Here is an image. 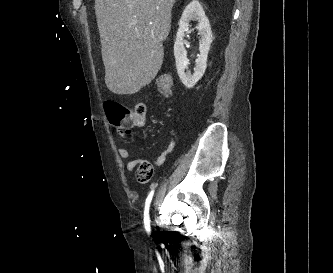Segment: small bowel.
Wrapping results in <instances>:
<instances>
[{"mask_svg": "<svg viewBox=\"0 0 333 273\" xmlns=\"http://www.w3.org/2000/svg\"><path fill=\"white\" fill-rule=\"evenodd\" d=\"M146 109L147 104L144 100L132 101L131 112L135 113V122L139 123L138 127H141L144 125V123L148 122V112L146 111ZM175 146L176 141L172 139L169 142L168 146L156 158L152 160V163L155 166H162L166 162L169 155L174 151ZM118 153L122 159L128 160L126 164V168L128 171H132L136 168L138 160L131 158V152L129 151V149L121 147L119 148Z\"/></svg>", "mask_w": 333, "mask_h": 273, "instance_id": "small-bowel-1", "label": "small bowel"}]
</instances>
